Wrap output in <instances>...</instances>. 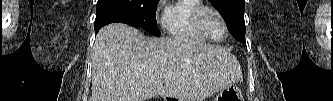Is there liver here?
I'll list each match as a JSON object with an SVG mask.
<instances>
[{"instance_id":"obj_1","label":"liver","mask_w":333,"mask_h":101,"mask_svg":"<svg viewBox=\"0 0 333 101\" xmlns=\"http://www.w3.org/2000/svg\"><path fill=\"white\" fill-rule=\"evenodd\" d=\"M241 79L239 62L222 47L146 38L136 28L113 23L95 40L90 101H145L157 95L202 101Z\"/></svg>"}]
</instances>
